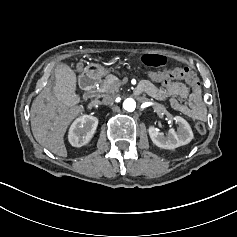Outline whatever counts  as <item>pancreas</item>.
<instances>
[{"instance_id": "pancreas-1", "label": "pancreas", "mask_w": 237, "mask_h": 237, "mask_svg": "<svg viewBox=\"0 0 237 237\" xmlns=\"http://www.w3.org/2000/svg\"><path fill=\"white\" fill-rule=\"evenodd\" d=\"M122 82L119 79L112 75L108 74L105 79L101 82L99 92L105 94H114L119 90Z\"/></svg>"}]
</instances>
